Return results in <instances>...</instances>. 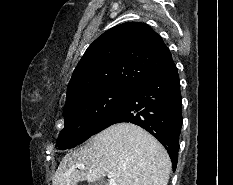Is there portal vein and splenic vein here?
Wrapping results in <instances>:
<instances>
[{"label": "portal vein and splenic vein", "instance_id": "portal-vein-and-splenic-vein-1", "mask_svg": "<svg viewBox=\"0 0 233 185\" xmlns=\"http://www.w3.org/2000/svg\"><path fill=\"white\" fill-rule=\"evenodd\" d=\"M76 167H77V168H80V169H84V168H85V166L82 165V164L76 165ZM107 176H108V178H109V182L111 183V185H116V184H115V179L113 178L114 175H113L112 173H109Z\"/></svg>", "mask_w": 233, "mask_h": 185}]
</instances>
